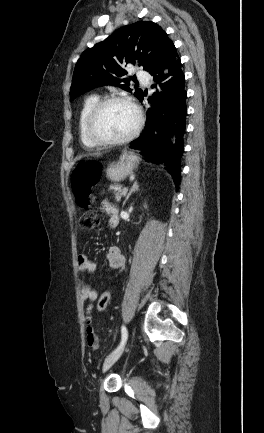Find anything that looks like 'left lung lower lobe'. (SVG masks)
Listing matches in <instances>:
<instances>
[{"label": "left lung lower lobe", "mask_w": 264, "mask_h": 433, "mask_svg": "<svg viewBox=\"0 0 264 433\" xmlns=\"http://www.w3.org/2000/svg\"><path fill=\"white\" fill-rule=\"evenodd\" d=\"M155 81L156 92L148 97L146 127L143 133L131 142L133 149L142 150V155L153 162L163 164L179 186L183 153V135L187 91L181 60L176 49L150 73ZM146 93L139 99L141 102Z\"/></svg>", "instance_id": "1"}]
</instances>
